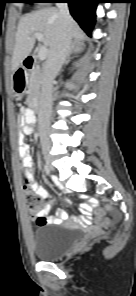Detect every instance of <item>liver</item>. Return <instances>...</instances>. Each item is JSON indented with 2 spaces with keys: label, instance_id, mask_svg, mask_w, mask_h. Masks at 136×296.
Wrapping results in <instances>:
<instances>
[{
  "label": "liver",
  "instance_id": "6515ba94",
  "mask_svg": "<svg viewBox=\"0 0 136 296\" xmlns=\"http://www.w3.org/2000/svg\"><path fill=\"white\" fill-rule=\"evenodd\" d=\"M59 10L47 7L25 15L18 25L12 56V70L16 71L34 48L35 32L43 34V43L47 46L48 56L54 47L59 33ZM71 35L77 41L85 38L78 24L71 18Z\"/></svg>",
  "mask_w": 136,
  "mask_h": 296
}]
</instances>
